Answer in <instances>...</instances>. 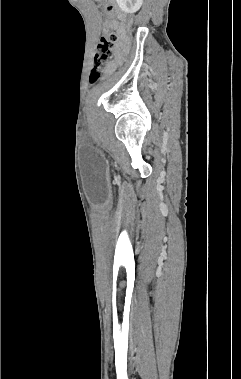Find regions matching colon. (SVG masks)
Returning a JSON list of instances; mask_svg holds the SVG:
<instances>
[{
    "mask_svg": "<svg viewBox=\"0 0 241 379\" xmlns=\"http://www.w3.org/2000/svg\"><path fill=\"white\" fill-rule=\"evenodd\" d=\"M106 12L112 17L116 18L118 16V13L113 6V4H108L106 6ZM127 23L125 24L126 30H133L134 29V22L136 19L135 13H128L127 14ZM129 38H134V33H129ZM119 37L118 34L115 32L110 33L106 37L102 38L100 42L97 45V49L95 52L94 57V67L91 71L90 80L92 82L97 81L103 72L107 71L109 63L111 61L112 55H113V48L115 44L117 43Z\"/></svg>",
    "mask_w": 241,
    "mask_h": 379,
    "instance_id": "1",
    "label": "colon"
}]
</instances>
